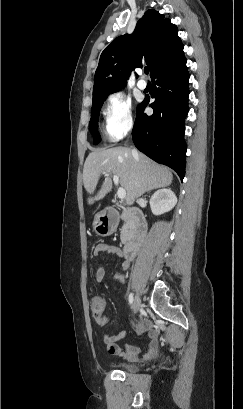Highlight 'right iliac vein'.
Instances as JSON below:
<instances>
[{
    "instance_id": "obj_1",
    "label": "right iliac vein",
    "mask_w": 243,
    "mask_h": 409,
    "mask_svg": "<svg viewBox=\"0 0 243 409\" xmlns=\"http://www.w3.org/2000/svg\"><path fill=\"white\" fill-rule=\"evenodd\" d=\"M140 306V297L138 294H136L135 299H134V303H133V310L134 313H136L139 309Z\"/></svg>"
}]
</instances>
